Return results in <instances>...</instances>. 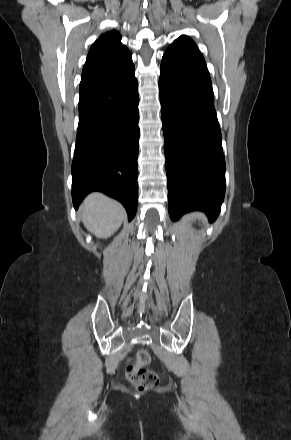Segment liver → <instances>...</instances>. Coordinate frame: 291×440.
<instances>
[{"label": "liver", "instance_id": "6515ba94", "mask_svg": "<svg viewBox=\"0 0 291 440\" xmlns=\"http://www.w3.org/2000/svg\"><path fill=\"white\" fill-rule=\"evenodd\" d=\"M84 226L98 238H108L121 226L125 218L122 205L101 193H92L81 207Z\"/></svg>", "mask_w": 291, "mask_h": 440}]
</instances>
